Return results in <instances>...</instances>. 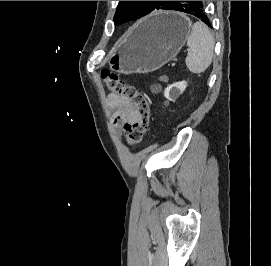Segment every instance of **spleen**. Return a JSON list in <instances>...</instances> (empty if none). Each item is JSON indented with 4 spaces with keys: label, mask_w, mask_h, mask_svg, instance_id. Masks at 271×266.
<instances>
[{
    "label": "spleen",
    "mask_w": 271,
    "mask_h": 266,
    "mask_svg": "<svg viewBox=\"0 0 271 266\" xmlns=\"http://www.w3.org/2000/svg\"><path fill=\"white\" fill-rule=\"evenodd\" d=\"M215 41L209 28L202 22H196L191 26L187 37L189 47L188 56L185 59L190 72L201 74L210 66L214 55Z\"/></svg>",
    "instance_id": "spleen-1"
}]
</instances>
